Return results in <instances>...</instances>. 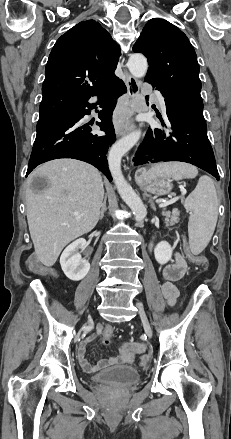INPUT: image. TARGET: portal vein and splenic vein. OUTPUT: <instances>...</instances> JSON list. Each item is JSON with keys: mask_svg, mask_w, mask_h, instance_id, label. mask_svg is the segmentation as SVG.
Instances as JSON below:
<instances>
[{"mask_svg": "<svg viewBox=\"0 0 231 439\" xmlns=\"http://www.w3.org/2000/svg\"><path fill=\"white\" fill-rule=\"evenodd\" d=\"M184 194H185V192L182 193V195H184ZM168 204H169V202H164V203L160 204L159 206L165 210V208ZM75 214L77 215L78 213H75Z\"/></svg>", "mask_w": 231, "mask_h": 439, "instance_id": "1", "label": "portal vein and splenic vein"}]
</instances>
